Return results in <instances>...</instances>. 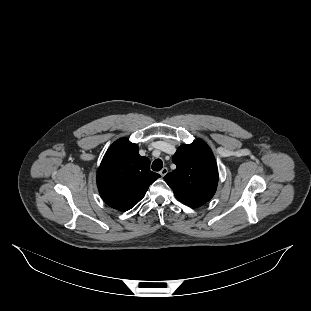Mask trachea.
<instances>
[{
  "mask_svg": "<svg viewBox=\"0 0 311 311\" xmlns=\"http://www.w3.org/2000/svg\"><path fill=\"white\" fill-rule=\"evenodd\" d=\"M163 167V161L161 159H156L152 163V170L154 171H160Z\"/></svg>",
  "mask_w": 311,
  "mask_h": 311,
  "instance_id": "1",
  "label": "trachea"
}]
</instances>
